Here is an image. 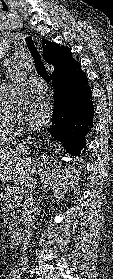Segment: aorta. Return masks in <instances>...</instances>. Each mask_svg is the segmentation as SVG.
Wrapping results in <instances>:
<instances>
[{
  "mask_svg": "<svg viewBox=\"0 0 113 279\" xmlns=\"http://www.w3.org/2000/svg\"><path fill=\"white\" fill-rule=\"evenodd\" d=\"M23 61L22 59H17L11 66V70H17L19 67H21ZM24 107V99L20 96L13 97L9 102V110L11 113L19 114L21 113L22 109ZM48 168L47 158L44 157V161L40 165L41 170H46Z\"/></svg>",
  "mask_w": 113,
  "mask_h": 279,
  "instance_id": "1",
  "label": "aorta"
}]
</instances>
